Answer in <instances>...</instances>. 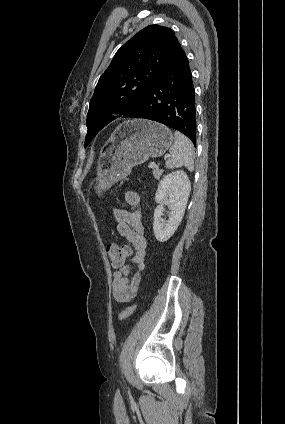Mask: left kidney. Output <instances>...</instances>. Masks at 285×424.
I'll return each instance as SVG.
<instances>
[{
    "label": "left kidney",
    "instance_id": "obj_1",
    "mask_svg": "<svg viewBox=\"0 0 285 424\" xmlns=\"http://www.w3.org/2000/svg\"><path fill=\"white\" fill-rule=\"evenodd\" d=\"M191 191V183L183 170L165 175L159 182L155 201L158 206L154 210L153 231L159 242L167 241L177 230L185 213L186 204ZM169 197L168 207L171 210L169 220L163 221L162 203Z\"/></svg>",
    "mask_w": 285,
    "mask_h": 424
}]
</instances>
